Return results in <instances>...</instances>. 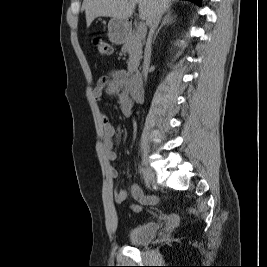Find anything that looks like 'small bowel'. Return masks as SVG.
Wrapping results in <instances>:
<instances>
[{"label": "small bowel", "mask_w": 267, "mask_h": 267, "mask_svg": "<svg viewBox=\"0 0 267 267\" xmlns=\"http://www.w3.org/2000/svg\"><path fill=\"white\" fill-rule=\"evenodd\" d=\"M103 94L115 99L124 116L128 117L132 115L134 104L130 97V79L124 69H114L99 79L93 89V97L96 101H100ZM101 119L103 125L102 148L107 160L115 161L117 154L114 151V138L120 136L121 131L114 127L108 115L105 113H102ZM108 172L111 178L118 176V171L113 166L109 167ZM130 192L136 201L129 206V209L134 213L141 212L143 205H155L157 203V197L146 195L137 184L131 186ZM127 197L128 193L125 190L114 191V200L118 204L125 202ZM166 219L168 222L174 223L177 217L175 215H169Z\"/></svg>", "instance_id": "1"}]
</instances>
